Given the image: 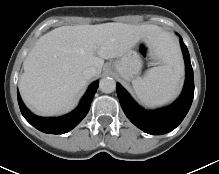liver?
<instances>
[{"label":"liver","instance_id":"6515ba94","mask_svg":"<svg viewBox=\"0 0 219 174\" xmlns=\"http://www.w3.org/2000/svg\"><path fill=\"white\" fill-rule=\"evenodd\" d=\"M140 40L152 54L165 56L173 44L153 25L103 23L62 26L41 36L24 61L19 90L25 103L38 115L69 111L86 85L83 71H102L104 59L120 57Z\"/></svg>","mask_w":219,"mask_h":174}]
</instances>
